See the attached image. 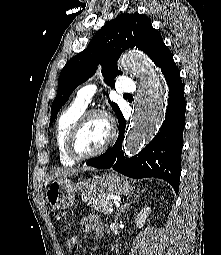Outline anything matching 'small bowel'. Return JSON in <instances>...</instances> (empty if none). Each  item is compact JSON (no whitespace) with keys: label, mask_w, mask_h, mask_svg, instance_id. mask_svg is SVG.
Returning <instances> with one entry per match:
<instances>
[{"label":"small bowel","mask_w":221,"mask_h":255,"mask_svg":"<svg viewBox=\"0 0 221 255\" xmlns=\"http://www.w3.org/2000/svg\"><path fill=\"white\" fill-rule=\"evenodd\" d=\"M82 229L85 232H91L92 233V240L98 241L102 236V228L100 221L95 216H89L85 218L81 223ZM79 244V238L78 236H72L67 242V246L70 251L76 250Z\"/></svg>","instance_id":"1"}]
</instances>
